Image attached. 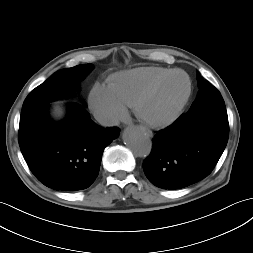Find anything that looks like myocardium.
<instances>
[{
	"mask_svg": "<svg viewBox=\"0 0 253 253\" xmlns=\"http://www.w3.org/2000/svg\"><path fill=\"white\" fill-rule=\"evenodd\" d=\"M176 74H182L185 76L187 80V91L182 100L179 102L177 107L174 109V111L167 117L163 119H155L150 116H148L145 112V106L149 99L154 95V93L161 87L162 84H164L168 79H170L172 76ZM192 93V82L189 77V75L180 69L172 70L171 72L167 73L166 75L162 76L158 80H156L151 86H149L142 95L138 98L136 105H135V112L136 115L140 120H142L144 123L152 126V127H166L174 123L182 114L184 108L186 107L190 96Z\"/></svg>",
	"mask_w": 253,
	"mask_h": 253,
	"instance_id": "f54148a6",
	"label": "myocardium"
}]
</instances>
